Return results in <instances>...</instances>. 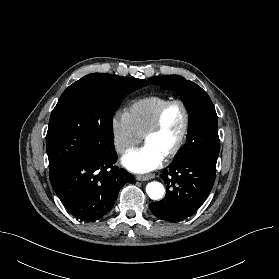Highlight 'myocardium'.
<instances>
[{"mask_svg": "<svg viewBox=\"0 0 279 279\" xmlns=\"http://www.w3.org/2000/svg\"><path fill=\"white\" fill-rule=\"evenodd\" d=\"M175 104H178L182 108L183 115H184V123H183L181 135H180L177 143L170 150V152H168L164 156L166 159H171V158L175 157L180 152V150L182 149V147L184 146V144L186 142L188 132H189V127H190V113H189V109H188L186 103L181 99H170L167 102H165L158 109L151 125L146 129V131L143 134V140L146 142L147 138L150 135H152L153 133L157 132L160 129V127L162 125L164 114L166 113V111L168 110L169 107H171L172 105H175Z\"/></svg>", "mask_w": 279, "mask_h": 279, "instance_id": "f54148a6", "label": "myocardium"}]
</instances>
